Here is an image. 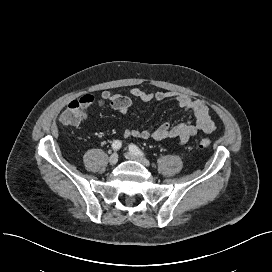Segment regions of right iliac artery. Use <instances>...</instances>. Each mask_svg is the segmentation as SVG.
<instances>
[{"label": "right iliac artery", "instance_id": "1", "mask_svg": "<svg viewBox=\"0 0 272 272\" xmlns=\"http://www.w3.org/2000/svg\"><path fill=\"white\" fill-rule=\"evenodd\" d=\"M121 146H122V143H121L119 140H116V141H114V142L112 143V149H113L114 151L119 150V149L121 148Z\"/></svg>", "mask_w": 272, "mask_h": 272}]
</instances>
